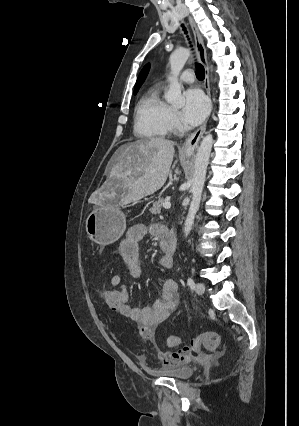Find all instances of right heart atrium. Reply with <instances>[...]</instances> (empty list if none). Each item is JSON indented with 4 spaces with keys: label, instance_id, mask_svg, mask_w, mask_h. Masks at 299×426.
<instances>
[{
    "label": "right heart atrium",
    "instance_id": "1",
    "mask_svg": "<svg viewBox=\"0 0 299 426\" xmlns=\"http://www.w3.org/2000/svg\"><path fill=\"white\" fill-rule=\"evenodd\" d=\"M169 126L171 130H176L181 127V120L179 118V115L176 111L171 110L170 116H169Z\"/></svg>",
    "mask_w": 299,
    "mask_h": 426
}]
</instances>
